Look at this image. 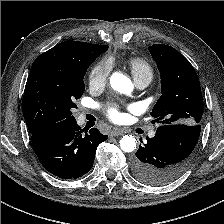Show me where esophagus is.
Here are the masks:
<instances>
[{
	"mask_svg": "<svg viewBox=\"0 0 224 224\" xmlns=\"http://www.w3.org/2000/svg\"><path fill=\"white\" fill-rule=\"evenodd\" d=\"M125 132L121 129H114L113 131L110 132L111 137H117L120 135H123Z\"/></svg>",
	"mask_w": 224,
	"mask_h": 224,
	"instance_id": "1",
	"label": "esophagus"
}]
</instances>
